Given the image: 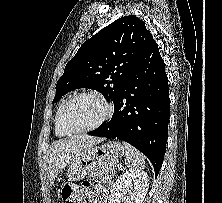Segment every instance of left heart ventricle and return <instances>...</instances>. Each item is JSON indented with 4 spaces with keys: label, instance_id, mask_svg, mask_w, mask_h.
Segmentation results:
<instances>
[{
    "label": "left heart ventricle",
    "instance_id": "obj_1",
    "mask_svg": "<svg viewBox=\"0 0 222 203\" xmlns=\"http://www.w3.org/2000/svg\"><path fill=\"white\" fill-rule=\"evenodd\" d=\"M104 106L92 97H78L67 107L65 123L71 128H84L95 124L103 116Z\"/></svg>",
    "mask_w": 222,
    "mask_h": 203
}]
</instances>
